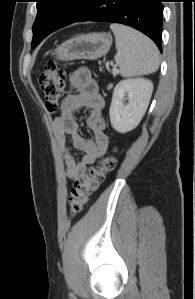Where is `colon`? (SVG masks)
<instances>
[{"label":"colon","instance_id":"1","mask_svg":"<svg viewBox=\"0 0 195 299\" xmlns=\"http://www.w3.org/2000/svg\"><path fill=\"white\" fill-rule=\"evenodd\" d=\"M66 72L53 61H49L39 77V84L47 111L54 114L58 110L59 101L65 87ZM113 155L102 157L98 164L90 167L83 177L76 180L69 196L68 207L72 215L83 211L90 196L104 181L105 175L115 168Z\"/></svg>","mask_w":195,"mask_h":299}]
</instances>
